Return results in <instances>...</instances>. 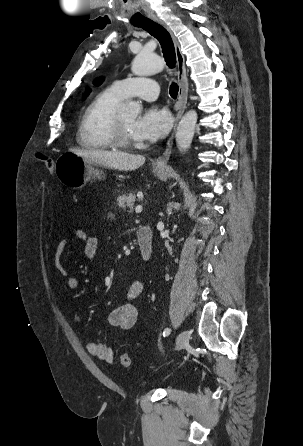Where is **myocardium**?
I'll return each mask as SVG.
<instances>
[{
	"label": "myocardium",
	"mask_w": 303,
	"mask_h": 446,
	"mask_svg": "<svg viewBox=\"0 0 303 446\" xmlns=\"http://www.w3.org/2000/svg\"><path fill=\"white\" fill-rule=\"evenodd\" d=\"M113 143L115 147L119 148H133L137 145L136 140L125 130L120 114L118 113L113 123Z\"/></svg>",
	"instance_id": "myocardium-1"
}]
</instances>
